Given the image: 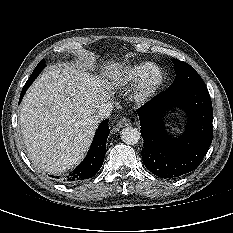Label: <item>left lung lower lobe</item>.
<instances>
[{
	"label": "left lung lower lobe",
	"instance_id": "0a47b994",
	"mask_svg": "<svg viewBox=\"0 0 233 233\" xmlns=\"http://www.w3.org/2000/svg\"><path fill=\"white\" fill-rule=\"evenodd\" d=\"M185 110L188 123L179 138L168 136L163 122L166 110ZM144 143L143 162L150 172L173 178L186 174L202 162L213 137L212 102L207 88L165 90L137 110Z\"/></svg>",
	"mask_w": 233,
	"mask_h": 233
}]
</instances>
